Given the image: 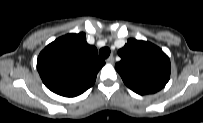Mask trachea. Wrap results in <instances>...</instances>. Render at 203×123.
Returning <instances> with one entry per match:
<instances>
[{
	"instance_id": "3493384b",
	"label": "trachea",
	"mask_w": 203,
	"mask_h": 123,
	"mask_svg": "<svg viewBox=\"0 0 203 123\" xmlns=\"http://www.w3.org/2000/svg\"><path fill=\"white\" fill-rule=\"evenodd\" d=\"M109 55H110V49L108 47H103V48L100 49L99 56L102 59L108 58Z\"/></svg>"
}]
</instances>
